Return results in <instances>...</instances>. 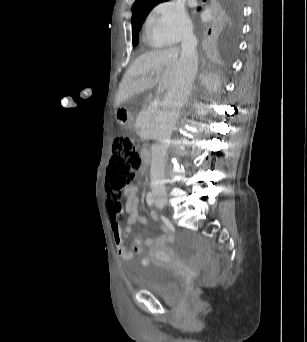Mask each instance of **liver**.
<instances>
[{
    "mask_svg": "<svg viewBox=\"0 0 307 342\" xmlns=\"http://www.w3.org/2000/svg\"><path fill=\"white\" fill-rule=\"evenodd\" d=\"M179 54V48H168V50L145 52L136 58L132 66L125 72L121 84H119L115 100L116 106L123 104L135 94H141L149 88H155L157 84L158 92H165L167 88H170L179 66ZM150 72H154L155 76H150ZM199 80L209 92H218L221 86L220 76L211 74V72L206 76L201 74Z\"/></svg>",
    "mask_w": 307,
    "mask_h": 342,
    "instance_id": "6515ba94",
    "label": "liver"
}]
</instances>
